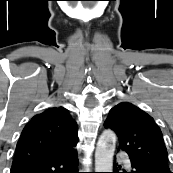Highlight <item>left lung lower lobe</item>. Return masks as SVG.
Segmentation results:
<instances>
[{"mask_svg": "<svg viewBox=\"0 0 173 173\" xmlns=\"http://www.w3.org/2000/svg\"><path fill=\"white\" fill-rule=\"evenodd\" d=\"M130 160H131V171L129 173H166L165 171L157 167H154L145 163H141L133 159H130ZM113 173H119L117 164H114Z\"/></svg>", "mask_w": 173, "mask_h": 173, "instance_id": "0a47b994", "label": "left lung lower lobe"}]
</instances>
